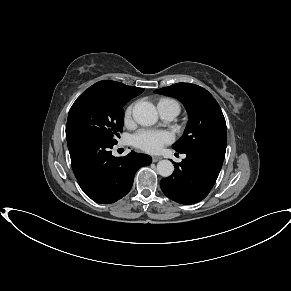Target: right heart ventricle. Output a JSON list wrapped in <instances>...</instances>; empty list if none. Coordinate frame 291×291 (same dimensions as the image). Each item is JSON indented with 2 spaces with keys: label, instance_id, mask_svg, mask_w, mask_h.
<instances>
[{
  "label": "right heart ventricle",
  "instance_id": "right-heart-ventricle-1",
  "mask_svg": "<svg viewBox=\"0 0 291 291\" xmlns=\"http://www.w3.org/2000/svg\"><path fill=\"white\" fill-rule=\"evenodd\" d=\"M164 104H172L177 109L178 113L180 112V104L178 101L171 98H163L158 102V107Z\"/></svg>",
  "mask_w": 291,
  "mask_h": 291
}]
</instances>
